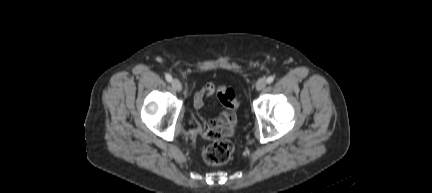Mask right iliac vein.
Here are the masks:
<instances>
[{
  "label": "right iliac vein",
  "instance_id": "obj_1",
  "mask_svg": "<svg viewBox=\"0 0 432 193\" xmlns=\"http://www.w3.org/2000/svg\"><path fill=\"white\" fill-rule=\"evenodd\" d=\"M171 84H172V88L176 92H180L182 90L181 82L178 79H173Z\"/></svg>",
  "mask_w": 432,
  "mask_h": 193
}]
</instances>
